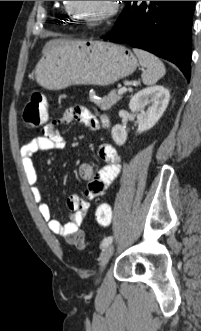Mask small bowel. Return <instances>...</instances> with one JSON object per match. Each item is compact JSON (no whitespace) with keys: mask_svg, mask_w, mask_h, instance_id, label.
I'll return each instance as SVG.
<instances>
[{"mask_svg":"<svg viewBox=\"0 0 201 331\" xmlns=\"http://www.w3.org/2000/svg\"><path fill=\"white\" fill-rule=\"evenodd\" d=\"M77 121L92 131L100 127L107 129L109 121L105 116L98 117L84 106L75 105L67 108L61 118L53 119L44 127L43 133L22 145L20 149L21 161L26 180L31 189L32 196L38 204L39 212L54 234L64 238L70 245H75L79 239H84L80 229L83 219L89 210L88 200H92L104 194L107 186L118 176L121 166L120 158L115 148L103 143L98 148V155L103 165L97 172L92 166L83 163L79 166V175L87 181L84 197L73 195L67 198L66 207L69 211L68 222L63 224L52 217L50 207L44 202L41 189L37 186L38 174L34 165L33 157L36 153L50 150L64 149L65 140L59 132L61 124Z\"/></svg>","mask_w":201,"mask_h":331,"instance_id":"small-bowel-1","label":"small bowel"}]
</instances>
